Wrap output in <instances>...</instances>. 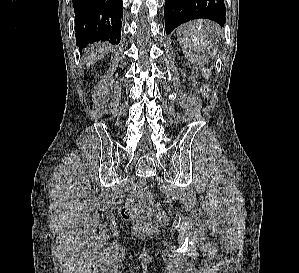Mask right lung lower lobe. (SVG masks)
Listing matches in <instances>:
<instances>
[{"mask_svg":"<svg viewBox=\"0 0 299 273\" xmlns=\"http://www.w3.org/2000/svg\"><path fill=\"white\" fill-rule=\"evenodd\" d=\"M76 42L79 47L95 41L118 44L121 39L122 0H72Z\"/></svg>","mask_w":299,"mask_h":273,"instance_id":"98d812e1","label":"right lung lower lobe"}]
</instances>
